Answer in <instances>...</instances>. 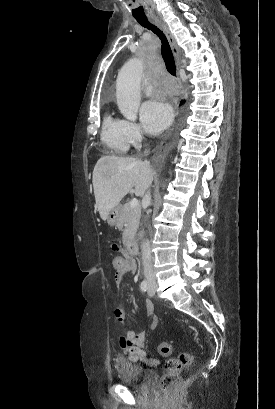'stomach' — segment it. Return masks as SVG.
Listing matches in <instances>:
<instances>
[{
    "instance_id": "1",
    "label": "stomach",
    "mask_w": 275,
    "mask_h": 409,
    "mask_svg": "<svg viewBox=\"0 0 275 409\" xmlns=\"http://www.w3.org/2000/svg\"><path fill=\"white\" fill-rule=\"evenodd\" d=\"M121 209V205H116V207H113L112 211H110L107 217V223L108 225H110V227H117L118 221L120 219Z\"/></svg>"
}]
</instances>
